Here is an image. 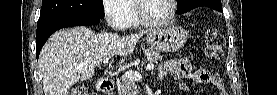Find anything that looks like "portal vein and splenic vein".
Listing matches in <instances>:
<instances>
[{
    "label": "portal vein and splenic vein",
    "mask_w": 277,
    "mask_h": 95,
    "mask_svg": "<svg viewBox=\"0 0 277 95\" xmlns=\"http://www.w3.org/2000/svg\"><path fill=\"white\" fill-rule=\"evenodd\" d=\"M108 61H109V58H105L103 60V63L106 64V63H108ZM153 69H154V64L153 63L147 64L146 70H153ZM124 76L126 78H128L129 80H132V81H136V80L141 79V74L137 71H132V70L126 71Z\"/></svg>",
    "instance_id": "18ae733b"
}]
</instances>
